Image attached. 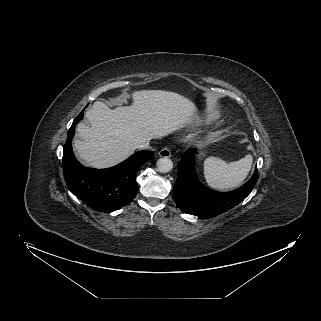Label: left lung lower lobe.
<instances>
[{
    "label": "left lung lower lobe",
    "instance_id": "1",
    "mask_svg": "<svg viewBox=\"0 0 321 321\" xmlns=\"http://www.w3.org/2000/svg\"><path fill=\"white\" fill-rule=\"evenodd\" d=\"M196 148L187 150L178 164V177L174 184L175 201L184 213L198 217H215L243 201L256 184L258 171H254L248 182L236 190L222 193L202 185L194 171Z\"/></svg>",
    "mask_w": 321,
    "mask_h": 321
}]
</instances>
